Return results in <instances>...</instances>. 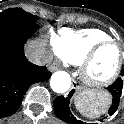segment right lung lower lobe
Returning <instances> with one entry per match:
<instances>
[{
	"instance_id": "1",
	"label": "right lung lower lobe",
	"mask_w": 124,
	"mask_h": 124,
	"mask_svg": "<svg viewBox=\"0 0 124 124\" xmlns=\"http://www.w3.org/2000/svg\"><path fill=\"white\" fill-rule=\"evenodd\" d=\"M38 28L36 23L0 26V118L16 112L32 84L51 76L24 55V44Z\"/></svg>"
}]
</instances>
